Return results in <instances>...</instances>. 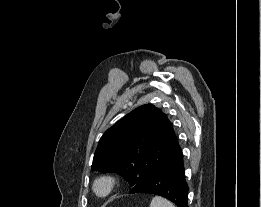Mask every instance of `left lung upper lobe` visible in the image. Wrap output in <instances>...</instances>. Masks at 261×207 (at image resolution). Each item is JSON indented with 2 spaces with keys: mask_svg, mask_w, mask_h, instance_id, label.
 Returning <instances> with one entry per match:
<instances>
[{
  "mask_svg": "<svg viewBox=\"0 0 261 207\" xmlns=\"http://www.w3.org/2000/svg\"><path fill=\"white\" fill-rule=\"evenodd\" d=\"M181 152L167 115L146 104L125 115L103 134L91 168L103 173L116 172L134 187Z\"/></svg>",
  "mask_w": 261,
  "mask_h": 207,
  "instance_id": "left-lung-upper-lobe-1",
  "label": "left lung upper lobe"
}]
</instances>
